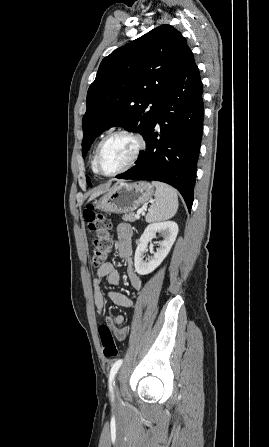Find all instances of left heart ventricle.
Segmentation results:
<instances>
[{
    "mask_svg": "<svg viewBox=\"0 0 269 447\" xmlns=\"http://www.w3.org/2000/svg\"><path fill=\"white\" fill-rule=\"evenodd\" d=\"M137 148V141L130 135L118 134L107 140L100 157L101 168L110 172L125 166Z\"/></svg>",
    "mask_w": 269,
    "mask_h": 447,
    "instance_id": "b2bd125f",
    "label": "left heart ventricle"
}]
</instances>
